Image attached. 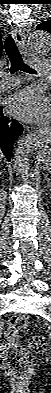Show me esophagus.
Segmentation results:
<instances>
[{
  "instance_id": "obj_1",
  "label": "esophagus",
  "mask_w": 51,
  "mask_h": 393,
  "mask_svg": "<svg viewBox=\"0 0 51 393\" xmlns=\"http://www.w3.org/2000/svg\"><path fill=\"white\" fill-rule=\"evenodd\" d=\"M12 34H13V37H14L17 45L19 46L21 52L25 55V52H24V40H23L22 33L18 29L12 28Z\"/></svg>"
}]
</instances>
